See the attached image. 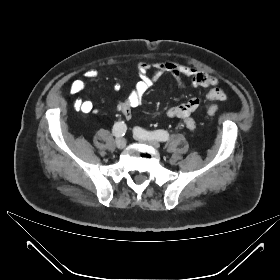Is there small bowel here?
<instances>
[{
    "label": "small bowel",
    "mask_w": 280,
    "mask_h": 280,
    "mask_svg": "<svg viewBox=\"0 0 280 280\" xmlns=\"http://www.w3.org/2000/svg\"><path fill=\"white\" fill-rule=\"evenodd\" d=\"M138 80L124 101L117 103L118 111L126 120L132 116V110L141 105L142 100L150 86L163 75L169 74L173 76L179 89H185L186 83L184 78L191 81V85L195 88H209L203 97H192L186 102L174 106L167 111V115L171 118L179 119L188 129L194 130L196 122L193 114L198 111L204 102L223 101L226 99V93L218 87L219 79L205 73L199 68L188 66L176 61H153L149 59L142 60L137 65ZM98 71L90 68L84 72V77L93 80L98 77ZM86 87V83L82 79L74 80L70 85L72 94H80ZM114 90L119 89V85H114ZM75 110L85 114L92 113L94 110L93 103L84 98H77L73 102Z\"/></svg>",
    "instance_id": "c3829d8e"
}]
</instances>
